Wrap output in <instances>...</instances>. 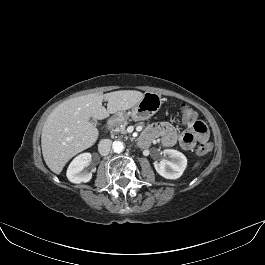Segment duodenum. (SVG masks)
I'll return each mask as SVG.
<instances>
[{
    "instance_id": "1",
    "label": "duodenum",
    "mask_w": 265,
    "mask_h": 265,
    "mask_svg": "<svg viewBox=\"0 0 265 265\" xmlns=\"http://www.w3.org/2000/svg\"><path fill=\"white\" fill-rule=\"evenodd\" d=\"M118 118L117 117H111L109 118V120L107 121V129H111L115 126V124L117 123Z\"/></svg>"
}]
</instances>
